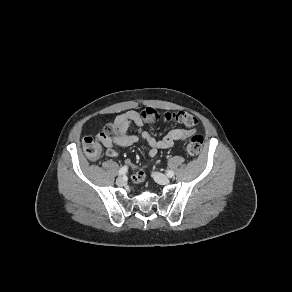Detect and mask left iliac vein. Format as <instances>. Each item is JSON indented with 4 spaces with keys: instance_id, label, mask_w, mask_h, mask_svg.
<instances>
[{
    "instance_id": "left-iliac-vein-1",
    "label": "left iliac vein",
    "mask_w": 292,
    "mask_h": 292,
    "mask_svg": "<svg viewBox=\"0 0 292 292\" xmlns=\"http://www.w3.org/2000/svg\"><path fill=\"white\" fill-rule=\"evenodd\" d=\"M153 177H154V180L161 185H167L170 183L169 178L163 175L162 173L155 172L153 173Z\"/></svg>"
}]
</instances>
